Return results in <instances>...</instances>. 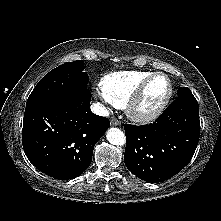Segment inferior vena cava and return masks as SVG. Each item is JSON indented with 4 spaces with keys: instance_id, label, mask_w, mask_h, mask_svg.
I'll use <instances>...</instances> for the list:
<instances>
[{
    "instance_id": "1",
    "label": "inferior vena cava",
    "mask_w": 221,
    "mask_h": 221,
    "mask_svg": "<svg viewBox=\"0 0 221 221\" xmlns=\"http://www.w3.org/2000/svg\"><path fill=\"white\" fill-rule=\"evenodd\" d=\"M91 110L93 113H95L99 116H109V111L99 102L93 103L91 105Z\"/></svg>"
}]
</instances>
